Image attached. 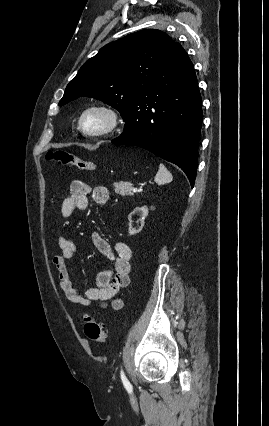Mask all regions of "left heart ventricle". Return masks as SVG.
Instances as JSON below:
<instances>
[{"label":"left heart ventricle","instance_id":"1","mask_svg":"<svg viewBox=\"0 0 269 426\" xmlns=\"http://www.w3.org/2000/svg\"><path fill=\"white\" fill-rule=\"evenodd\" d=\"M105 124V118L103 115L98 113L89 114L84 120V127L87 130H96L101 128Z\"/></svg>","mask_w":269,"mask_h":426}]
</instances>
